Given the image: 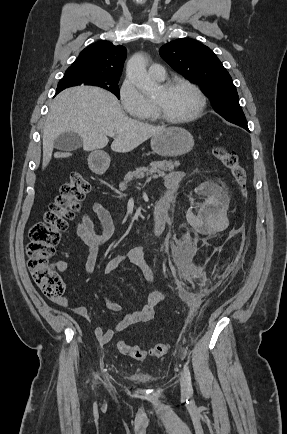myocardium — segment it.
I'll return each instance as SVG.
<instances>
[{
  "mask_svg": "<svg viewBox=\"0 0 287 434\" xmlns=\"http://www.w3.org/2000/svg\"><path fill=\"white\" fill-rule=\"evenodd\" d=\"M177 86H184L189 88L197 97V106L193 113H191L190 115L183 118H171L164 113V111L157 102L152 100V106L156 117L161 121L172 125H182L198 119L203 113L206 106L205 95L197 85L190 82L189 80L181 78L170 79L163 82L160 87L164 90H170Z\"/></svg>",
  "mask_w": 287,
  "mask_h": 434,
  "instance_id": "f54148a6",
  "label": "myocardium"
}]
</instances>
